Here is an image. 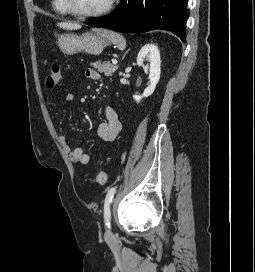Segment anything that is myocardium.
<instances>
[{
  "instance_id": "obj_1",
  "label": "myocardium",
  "mask_w": 255,
  "mask_h": 272,
  "mask_svg": "<svg viewBox=\"0 0 255 272\" xmlns=\"http://www.w3.org/2000/svg\"><path fill=\"white\" fill-rule=\"evenodd\" d=\"M64 6L66 10L73 16L80 18V19H88V18H98L106 15L111 11V9L114 6L115 0H108L107 3L103 8L100 10L94 11V12H88V13H83L77 11L73 5L71 0H63Z\"/></svg>"
}]
</instances>
